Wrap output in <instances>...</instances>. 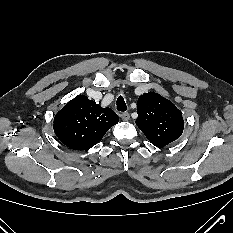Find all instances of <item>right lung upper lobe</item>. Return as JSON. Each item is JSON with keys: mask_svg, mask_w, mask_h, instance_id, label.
<instances>
[{"mask_svg": "<svg viewBox=\"0 0 233 233\" xmlns=\"http://www.w3.org/2000/svg\"><path fill=\"white\" fill-rule=\"evenodd\" d=\"M118 121L112 109L102 108L86 96L78 95L55 115L54 132L67 147L88 150Z\"/></svg>", "mask_w": 233, "mask_h": 233, "instance_id": "obj_1", "label": "right lung upper lobe"}]
</instances>
